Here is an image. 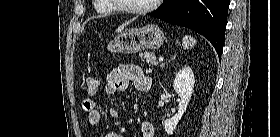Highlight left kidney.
Here are the masks:
<instances>
[{"label":"left kidney","mask_w":280,"mask_h":137,"mask_svg":"<svg viewBox=\"0 0 280 137\" xmlns=\"http://www.w3.org/2000/svg\"><path fill=\"white\" fill-rule=\"evenodd\" d=\"M194 84V74L189 66H185L178 71L173 82V87L180 96L181 100L178 106V113L175 114L171 119H166L164 121L165 132L168 135L173 134L178 122L181 120L184 112L186 111L193 93Z\"/></svg>","instance_id":"1"}]
</instances>
